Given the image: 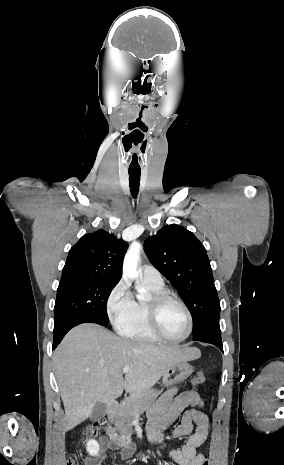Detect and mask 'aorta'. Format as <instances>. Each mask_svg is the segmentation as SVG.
Returning <instances> with one entry per match:
<instances>
[{
  "instance_id": "aorta-1",
  "label": "aorta",
  "mask_w": 284,
  "mask_h": 465,
  "mask_svg": "<svg viewBox=\"0 0 284 465\" xmlns=\"http://www.w3.org/2000/svg\"><path fill=\"white\" fill-rule=\"evenodd\" d=\"M141 244L138 242H133L124 258L123 263V277L125 279L133 280L138 277L139 273L137 270L138 262L140 260ZM139 295L138 299H143L145 297V290L142 287L137 288Z\"/></svg>"
}]
</instances>
